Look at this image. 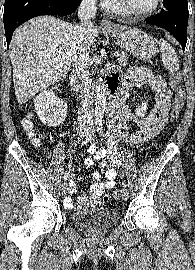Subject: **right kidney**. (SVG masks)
Returning a JSON list of instances; mask_svg holds the SVG:
<instances>
[{"mask_svg":"<svg viewBox=\"0 0 195 270\" xmlns=\"http://www.w3.org/2000/svg\"><path fill=\"white\" fill-rule=\"evenodd\" d=\"M34 107L40 121L49 127H56L65 121L67 103L56 97L53 89L41 92L34 99Z\"/></svg>","mask_w":195,"mask_h":270,"instance_id":"obj_1","label":"right kidney"}]
</instances>
